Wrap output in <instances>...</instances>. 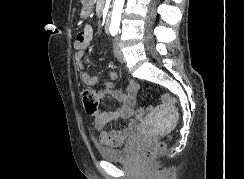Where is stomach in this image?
<instances>
[{
	"mask_svg": "<svg viewBox=\"0 0 244 179\" xmlns=\"http://www.w3.org/2000/svg\"><path fill=\"white\" fill-rule=\"evenodd\" d=\"M82 4L83 8L81 10V18H88L89 14L92 12L91 0H84Z\"/></svg>",
	"mask_w": 244,
	"mask_h": 179,
	"instance_id": "obj_1",
	"label": "stomach"
}]
</instances>
